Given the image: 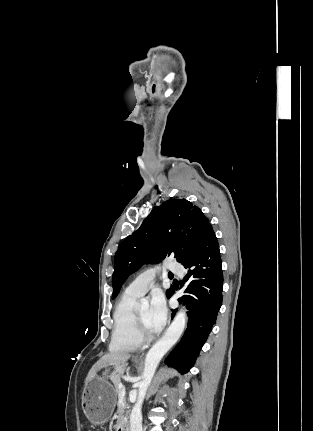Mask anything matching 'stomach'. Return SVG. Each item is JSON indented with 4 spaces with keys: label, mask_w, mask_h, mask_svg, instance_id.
Segmentation results:
<instances>
[{
    "label": "stomach",
    "mask_w": 313,
    "mask_h": 431,
    "mask_svg": "<svg viewBox=\"0 0 313 431\" xmlns=\"http://www.w3.org/2000/svg\"><path fill=\"white\" fill-rule=\"evenodd\" d=\"M108 378L106 370L102 376H95L86 382L83 389L82 408L88 420L94 425L107 422L115 407L117 394Z\"/></svg>",
    "instance_id": "0dacf381"
}]
</instances>
